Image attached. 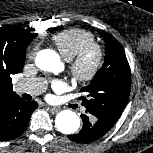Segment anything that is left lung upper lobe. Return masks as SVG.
I'll return each mask as SVG.
<instances>
[{"mask_svg":"<svg viewBox=\"0 0 153 153\" xmlns=\"http://www.w3.org/2000/svg\"><path fill=\"white\" fill-rule=\"evenodd\" d=\"M105 40V61L89 85L81 91L87 113L112 127L123 112L130 94L131 72L120 43L110 34L100 32Z\"/></svg>","mask_w":153,"mask_h":153,"instance_id":"5c2ea615","label":"left lung upper lobe"}]
</instances>
